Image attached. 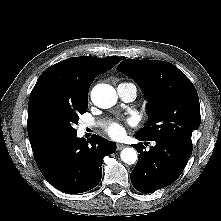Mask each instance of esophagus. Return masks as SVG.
<instances>
[{
	"label": "esophagus",
	"mask_w": 221,
	"mask_h": 221,
	"mask_svg": "<svg viewBox=\"0 0 221 221\" xmlns=\"http://www.w3.org/2000/svg\"><path fill=\"white\" fill-rule=\"evenodd\" d=\"M124 147H125L124 144H120V143L117 144V150H122Z\"/></svg>",
	"instance_id": "obj_1"
}]
</instances>
